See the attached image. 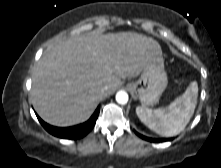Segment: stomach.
<instances>
[{
    "label": "stomach",
    "mask_w": 221,
    "mask_h": 168,
    "mask_svg": "<svg viewBox=\"0 0 221 168\" xmlns=\"http://www.w3.org/2000/svg\"><path fill=\"white\" fill-rule=\"evenodd\" d=\"M167 83L164 62L153 60L143 69L139 79L129 83L127 87L143 106H147L158 102Z\"/></svg>",
    "instance_id": "obj_1"
}]
</instances>
